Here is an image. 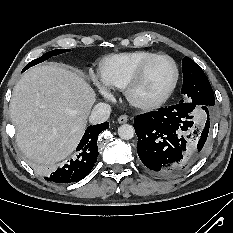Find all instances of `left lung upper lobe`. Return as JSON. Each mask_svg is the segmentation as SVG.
Returning <instances> with one entry per match:
<instances>
[{"label":"left lung upper lobe","mask_w":233,"mask_h":233,"mask_svg":"<svg viewBox=\"0 0 233 233\" xmlns=\"http://www.w3.org/2000/svg\"><path fill=\"white\" fill-rule=\"evenodd\" d=\"M182 70L181 94L190 97L191 103L195 105L213 106L215 104L213 90L201 67L192 59L185 57L182 60Z\"/></svg>","instance_id":"1"}]
</instances>
